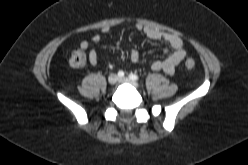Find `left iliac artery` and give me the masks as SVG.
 Returning a JSON list of instances; mask_svg holds the SVG:
<instances>
[{"label":"left iliac artery","mask_w":248,"mask_h":165,"mask_svg":"<svg viewBox=\"0 0 248 165\" xmlns=\"http://www.w3.org/2000/svg\"><path fill=\"white\" fill-rule=\"evenodd\" d=\"M129 78H130L131 80H133V81H136V80L139 79V77H138L136 74H133V73L129 74Z\"/></svg>","instance_id":"1"}]
</instances>
